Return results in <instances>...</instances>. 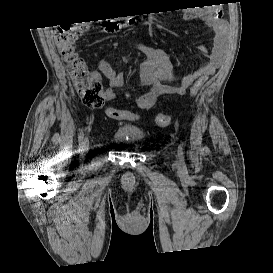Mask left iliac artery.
I'll use <instances>...</instances> for the list:
<instances>
[{
	"mask_svg": "<svg viewBox=\"0 0 273 273\" xmlns=\"http://www.w3.org/2000/svg\"><path fill=\"white\" fill-rule=\"evenodd\" d=\"M178 154H179V156H183V147H182V145L180 144L179 145V147H178Z\"/></svg>",
	"mask_w": 273,
	"mask_h": 273,
	"instance_id": "1",
	"label": "left iliac artery"
}]
</instances>
